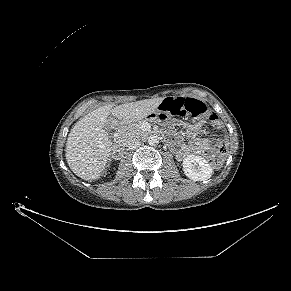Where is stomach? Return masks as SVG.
Returning <instances> with one entry per match:
<instances>
[{
	"label": "stomach",
	"instance_id": "stomach-1",
	"mask_svg": "<svg viewBox=\"0 0 291 291\" xmlns=\"http://www.w3.org/2000/svg\"><path fill=\"white\" fill-rule=\"evenodd\" d=\"M169 116L166 113L155 111L148 115V120L152 122L162 123L166 121Z\"/></svg>",
	"mask_w": 291,
	"mask_h": 291
}]
</instances>
